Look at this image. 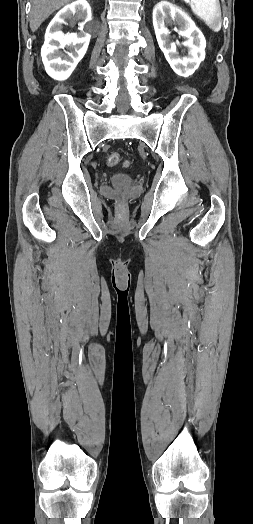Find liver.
I'll return each mask as SVG.
<instances>
[{
    "label": "liver",
    "mask_w": 253,
    "mask_h": 524,
    "mask_svg": "<svg viewBox=\"0 0 253 524\" xmlns=\"http://www.w3.org/2000/svg\"><path fill=\"white\" fill-rule=\"evenodd\" d=\"M72 0H32L30 29L35 32L40 25L56 10Z\"/></svg>",
    "instance_id": "obj_1"
}]
</instances>
